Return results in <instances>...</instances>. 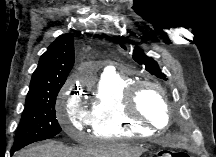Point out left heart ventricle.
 Here are the masks:
<instances>
[{"label": "left heart ventricle", "mask_w": 216, "mask_h": 157, "mask_svg": "<svg viewBox=\"0 0 216 157\" xmlns=\"http://www.w3.org/2000/svg\"><path fill=\"white\" fill-rule=\"evenodd\" d=\"M137 106L143 115L157 125L163 126L166 123V111L160 95L155 89L144 87L138 96Z\"/></svg>", "instance_id": "left-heart-ventricle-1"}]
</instances>
